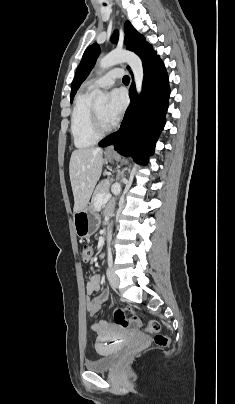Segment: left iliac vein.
Instances as JSON below:
<instances>
[{
  "instance_id": "1",
  "label": "left iliac vein",
  "mask_w": 235,
  "mask_h": 404,
  "mask_svg": "<svg viewBox=\"0 0 235 404\" xmlns=\"http://www.w3.org/2000/svg\"><path fill=\"white\" fill-rule=\"evenodd\" d=\"M107 278L113 288H118L120 283L119 278L111 268L107 270Z\"/></svg>"
}]
</instances>
